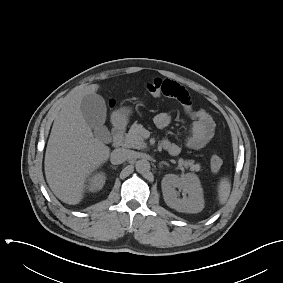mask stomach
I'll return each mask as SVG.
<instances>
[{
	"label": "stomach",
	"mask_w": 283,
	"mask_h": 283,
	"mask_svg": "<svg viewBox=\"0 0 283 283\" xmlns=\"http://www.w3.org/2000/svg\"><path fill=\"white\" fill-rule=\"evenodd\" d=\"M131 113V110L129 108H123L121 111L118 113V120L120 122H125L129 114Z\"/></svg>",
	"instance_id": "0dacf381"
}]
</instances>
